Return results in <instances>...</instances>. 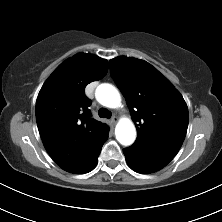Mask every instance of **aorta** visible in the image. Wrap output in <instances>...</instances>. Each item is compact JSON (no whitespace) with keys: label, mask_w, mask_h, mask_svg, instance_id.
I'll return each mask as SVG.
<instances>
[{"label":"aorta","mask_w":222,"mask_h":222,"mask_svg":"<svg viewBox=\"0 0 222 222\" xmlns=\"http://www.w3.org/2000/svg\"><path fill=\"white\" fill-rule=\"evenodd\" d=\"M97 101L103 106L117 108L121 97L117 89L110 84H101L95 93ZM116 139L122 145H131L136 137V129L133 122L128 118H122L115 128Z\"/></svg>","instance_id":"762f6f07"}]
</instances>
